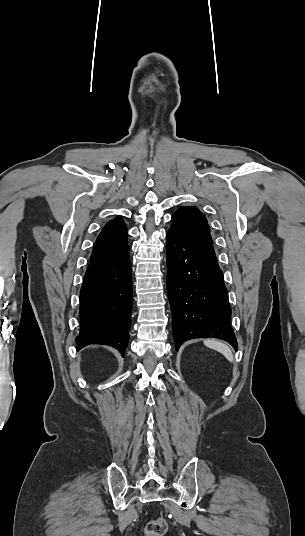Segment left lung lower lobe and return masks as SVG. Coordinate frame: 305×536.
<instances>
[{
	"mask_svg": "<svg viewBox=\"0 0 305 536\" xmlns=\"http://www.w3.org/2000/svg\"><path fill=\"white\" fill-rule=\"evenodd\" d=\"M167 291L176 350L193 338H219L237 350L231 307L213 245L167 233Z\"/></svg>",
	"mask_w": 305,
	"mask_h": 536,
	"instance_id": "0a47b994",
	"label": "left lung lower lobe"
}]
</instances>
